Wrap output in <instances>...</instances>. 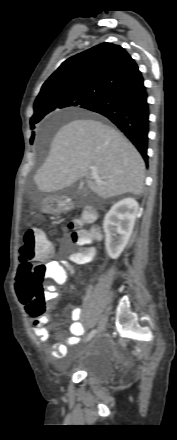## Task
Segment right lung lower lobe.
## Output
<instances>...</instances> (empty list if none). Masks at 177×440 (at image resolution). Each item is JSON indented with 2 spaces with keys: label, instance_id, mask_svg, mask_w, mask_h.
Here are the masks:
<instances>
[{
  "label": "right lung lower lobe",
  "instance_id": "right-lung-lower-lobe-1",
  "mask_svg": "<svg viewBox=\"0 0 177 440\" xmlns=\"http://www.w3.org/2000/svg\"><path fill=\"white\" fill-rule=\"evenodd\" d=\"M142 74L105 94L86 109L111 120L148 161L149 106Z\"/></svg>",
  "mask_w": 177,
  "mask_h": 440
}]
</instances>
